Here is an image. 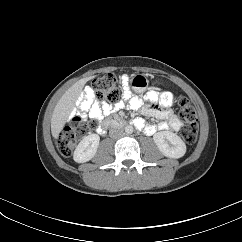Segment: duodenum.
<instances>
[{
  "label": "duodenum",
  "instance_id": "410a0bca",
  "mask_svg": "<svg viewBox=\"0 0 242 242\" xmlns=\"http://www.w3.org/2000/svg\"><path fill=\"white\" fill-rule=\"evenodd\" d=\"M128 125H132V122L113 116L104 122L102 134H105L106 131L111 127H123Z\"/></svg>",
  "mask_w": 242,
  "mask_h": 242
}]
</instances>
